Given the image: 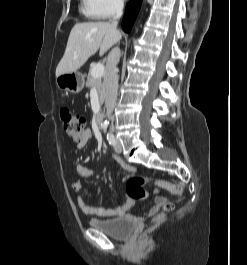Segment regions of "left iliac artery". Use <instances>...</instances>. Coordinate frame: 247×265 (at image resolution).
<instances>
[{"mask_svg": "<svg viewBox=\"0 0 247 265\" xmlns=\"http://www.w3.org/2000/svg\"><path fill=\"white\" fill-rule=\"evenodd\" d=\"M107 139H108L110 145L114 146L116 144L113 134L108 133L107 134Z\"/></svg>", "mask_w": 247, "mask_h": 265, "instance_id": "left-iliac-artery-1", "label": "left iliac artery"}]
</instances>
